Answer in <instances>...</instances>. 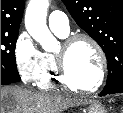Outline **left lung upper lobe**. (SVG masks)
<instances>
[{"label": "left lung upper lobe", "instance_id": "1", "mask_svg": "<svg viewBox=\"0 0 123 113\" xmlns=\"http://www.w3.org/2000/svg\"><path fill=\"white\" fill-rule=\"evenodd\" d=\"M62 1L106 54L108 78L103 91L123 93V0Z\"/></svg>", "mask_w": 123, "mask_h": 113}]
</instances>
